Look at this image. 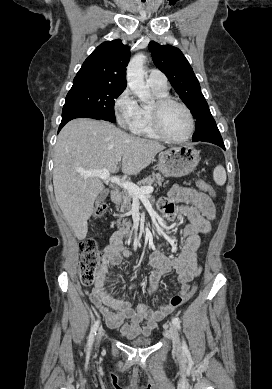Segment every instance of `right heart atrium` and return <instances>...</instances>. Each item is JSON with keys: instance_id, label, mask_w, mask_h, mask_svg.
I'll return each instance as SVG.
<instances>
[{"instance_id": "right-heart-atrium-1", "label": "right heart atrium", "mask_w": 272, "mask_h": 389, "mask_svg": "<svg viewBox=\"0 0 272 389\" xmlns=\"http://www.w3.org/2000/svg\"><path fill=\"white\" fill-rule=\"evenodd\" d=\"M114 112L122 127H130L137 118L139 106L129 88H125L115 99Z\"/></svg>"}]
</instances>
